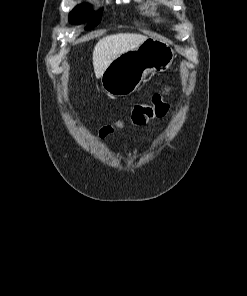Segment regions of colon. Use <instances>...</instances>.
<instances>
[{"label":"colon","mask_w":247,"mask_h":296,"mask_svg":"<svg viewBox=\"0 0 247 296\" xmlns=\"http://www.w3.org/2000/svg\"><path fill=\"white\" fill-rule=\"evenodd\" d=\"M167 94L168 91L157 93L152 96L149 102L134 105L130 111L132 122L141 125L154 118L163 117L169 109V104L165 100ZM112 131V126H104L101 128L100 134L106 136Z\"/></svg>","instance_id":"colon-1"}]
</instances>
